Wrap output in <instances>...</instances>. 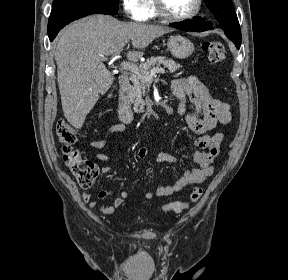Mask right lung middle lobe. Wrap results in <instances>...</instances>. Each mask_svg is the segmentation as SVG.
<instances>
[{
  "instance_id": "1",
  "label": "right lung middle lobe",
  "mask_w": 288,
  "mask_h": 280,
  "mask_svg": "<svg viewBox=\"0 0 288 280\" xmlns=\"http://www.w3.org/2000/svg\"><path fill=\"white\" fill-rule=\"evenodd\" d=\"M82 2H91V3L100 4L114 11L115 13L118 12L119 0H54L51 12L59 8H62L64 6H67V5H71L75 3H82Z\"/></svg>"
}]
</instances>
